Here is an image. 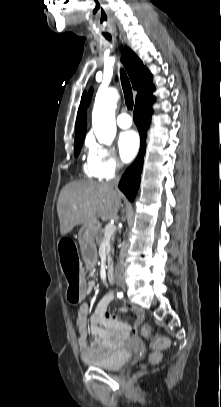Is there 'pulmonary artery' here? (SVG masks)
<instances>
[{"mask_svg":"<svg viewBox=\"0 0 221 407\" xmlns=\"http://www.w3.org/2000/svg\"><path fill=\"white\" fill-rule=\"evenodd\" d=\"M132 119L128 113L123 112L117 117V124L120 128H129L132 125Z\"/></svg>","mask_w":221,"mask_h":407,"instance_id":"e3ab8cb5","label":"pulmonary artery"}]
</instances>
